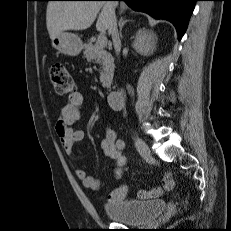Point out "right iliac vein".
Returning <instances> with one entry per match:
<instances>
[{"label":"right iliac vein","mask_w":231,"mask_h":231,"mask_svg":"<svg viewBox=\"0 0 231 231\" xmlns=\"http://www.w3.org/2000/svg\"><path fill=\"white\" fill-rule=\"evenodd\" d=\"M135 146L144 159H150L152 157L149 146L146 142L138 136L134 137Z\"/></svg>","instance_id":"1"}]
</instances>
